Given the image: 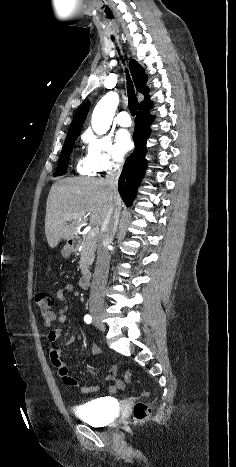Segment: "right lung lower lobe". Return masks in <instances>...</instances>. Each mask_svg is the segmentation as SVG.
Masks as SVG:
<instances>
[{
  "label": "right lung lower lobe",
  "instance_id": "obj_1",
  "mask_svg": "<svg viewBox=\"0 0 236 467\" xmlns=\"http://www.w3.org/2000/svg\"><path fill=\"white\" fill-rule=\"evenodd\" d=\"M151 108L152 102L140 107L137 112L133 133L135 150L126 159L118 182L119 193L127 207L132 205L136 196L137 187L145 174L146 141L150 136V124L153 121V116L149 114Z\"/></svg>",
  "mask_w": 236,
  "mask_h": 467
}]
</instances>
